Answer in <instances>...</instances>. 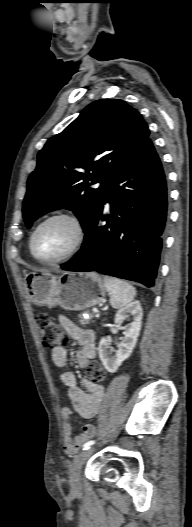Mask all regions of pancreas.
Here are the masks:
<instances>
[{
  "instance_id": "pancreas-1",
  "label": "pancreas",
  "mask_w": 192,
  "mask_h": 527,
  "mask_svg": "<svg viewBox=\"0 0 192 527\" xmlns=\"http://www.w3.org/2000/svg\"><path fill=\"white\" fill-rule=\"evenodd\" d=\"M85 314L88 316L87 318L84 317ZM78 317L82 325H87L90 323L91 319L95 317V315L89 311H85V312L80 313Z\"/></svg>"
}]
</instances>
